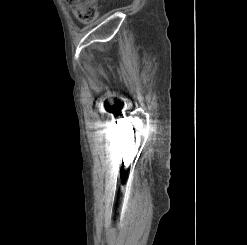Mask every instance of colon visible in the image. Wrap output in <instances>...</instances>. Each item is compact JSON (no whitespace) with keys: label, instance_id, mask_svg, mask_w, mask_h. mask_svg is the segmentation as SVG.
<instances>
[{"label":"colon","instance_id":"obj_1","mask_svg":"<svg viewBox=\"0 0 247 245\" xmlns=\"http://www.w3.org/2000/svg\"><path fill=\"white\" fill-rule=\"evenodd\" d=\"M66 3L81 23H91L98 16V0H66Z\"/></svg>","mask_w":247,"mask_h":245}]
</instances>
